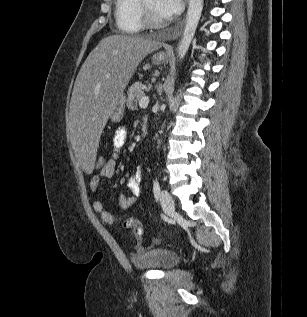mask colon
Wrapping results in <instances>:
<instances>
[{
    "instance_id": "5ec220e1",
    "label": "colon",
    "mask_w": 307,
    "mask_h": 317,
    "mask_svg": "<svg viewBox=\"0 0 307 317\" xmlns=\"http://www.w3.org/2000/svg\"><path fill=\"white\" fill-rule=\"evenodd\" d=\"M106 163H107L106 159L103 156L99 155L97 156L95 160L94 167L97 170H101L105 166ZM121 222L125 228L131 229L137 238H141L142 227L139 222H137L133 218H125V219H122Z\"/></svg>"
}]
</instances>
